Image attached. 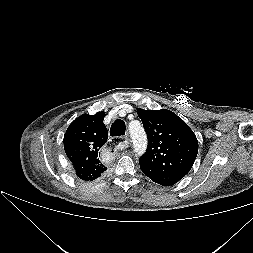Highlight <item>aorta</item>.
<instances>
[{
    "label": "aorta",
    "instance_id": "1",
    "mask_svg": "<svg viewBox=\"0 0 253 253\" xmlns=\"http://www.w3.org/2000/svg\"><path fill=\"white\" fill-rule=\"evenodd\" d=\"M129 133L131 135L134 150L139 155L143 154L147 147L146 133L141 125H129Z\"/></svg>",
    "mask_w": 253,
    "mask_h": 253
}]
</instances>
